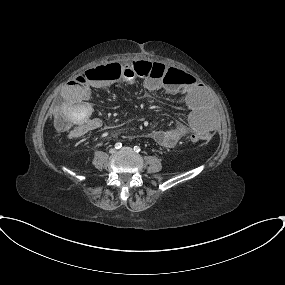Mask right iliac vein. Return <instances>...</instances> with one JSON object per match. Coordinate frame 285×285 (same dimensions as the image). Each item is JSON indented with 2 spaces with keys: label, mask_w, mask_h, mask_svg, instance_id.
I'll return each mask as SVG.
<instances>
[{
  "label": "right iliac vein",
  "mask_w": 285,
  "mask_h": 285,
  "mask_svg": "<svg viewBox=\"0 0 285 285\" xmlns=\"http://www.w3.org/2000/svg\"><path fill=\"white\" fill-rule=\"evenodd\" d=\"M116 152V149H114V148H111L110 150H109V153L110 154H114Z\"/></svg>",
  "instance_id": "obj_1"
}]
</instances>
